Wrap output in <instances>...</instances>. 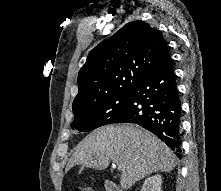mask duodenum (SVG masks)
I'll use <instances>...</instances> for the list:
<instances>
[{
    "mask_svg": "<svg viewBox=\"0 0 221 191\" xmlns=\"http://www.w3.org/2000/svg\"><path fill=\"white\" fill-rule=\"evenodd\" d=\"M105 191H123L122 188L112 180H106L104 182Z\"/></svg>",
    "mask_w": 221,
    "mask_h": 191,
    "instance_id": "obj_1",
    "label": "duodenum"
}]
</instances>
